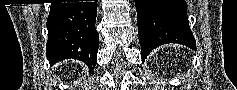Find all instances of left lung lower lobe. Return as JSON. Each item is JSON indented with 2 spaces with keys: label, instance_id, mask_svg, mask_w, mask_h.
Segmentation results:
<instances>
[{
  "label": "left lung lower lobe",
  "instance_id": "1",
  "mask_svg": "<svg viewBox=\"0 0 237 90\" xmlns=\"http://www.w3.org/2000/svg\"><path fill=\"white\" fill-rule=\"evenodd\" d=\"M142 61L156 47L178 43L196 48L185 0H135Z\"/></svg>",
  "mask_w": 237,
  "mask_h": 90
}]
</instances>
